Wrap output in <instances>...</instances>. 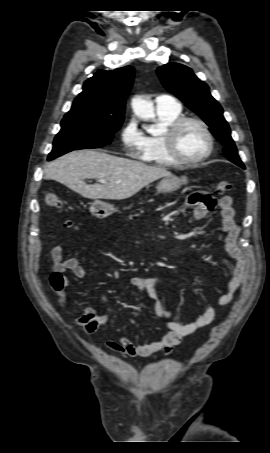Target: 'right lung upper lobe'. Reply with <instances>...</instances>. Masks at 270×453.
<instances>
[{"instance_id":"obj_1","label":"right lung upper lobe","mask_w":270,"mask_h":453,"mask_svg":"<svg viewBox=\"0 0 270 453\" xmlns=\"http://www.w3.org/2000/svg\"><path fill=\"white\" fill-rule=\"evenodd\" d=\"M134 71L131 66L98 71L84 82L83 91L65 116L93 114L123 121L125 101L132 87Z\"/></svg>"}]
</instances>
